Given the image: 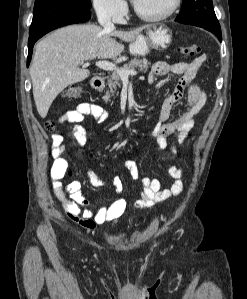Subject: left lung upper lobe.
<instances>
[{
	"label": "left lung upper lobe",
	"instance_id": "1",
	"mask_svg": "<svg viewBox=\"0 0 247 299\" xmlns=\"http://www.w3.org/2000/svg\"><path fill=\"white\" fill-rule=\"evenodd\" d=\"M189 18L203 19L213 25H219L212 0H183L182 9L175 20Z\"/></svg>",
	"mask_w": 247,
	"mask_h": 299
}]
</instances>
